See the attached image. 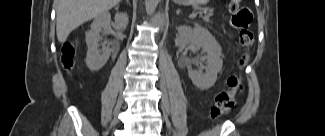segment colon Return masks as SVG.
I'll return each instance as SVG.
<instances>
[{
	"instance_id": "colon-1",
	"label": "colon",
	"mask_w": 325,
	"mask_h": 136,
	"mask_svg": "<svg viewBox=\"0 0 325 136\" xmlns=\"http://www.w3.org/2000/svg\"><path fill=\"white\" fill-rule=\"evenodd\" d=\"M241 0H231L230 11L232 16V25L238 30L239 44L249 52L254 44V34L249 29V25L252 20V14L246 8L240 7ZM75 49L72 45H66L62 52V64L65 68L71 69L74 66ZM248 55H245L242 59V64ZM228 89L217 95L215 103L211 109V117L216 120L227 112H229L235 105L236 95L242 92L244 85L241 77L231 76L228 81Z\"/></svg>"
}]
</instances>
